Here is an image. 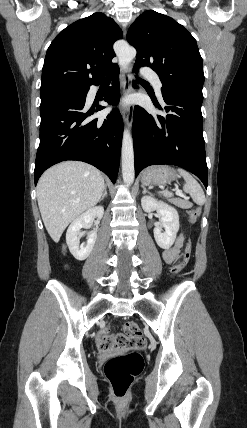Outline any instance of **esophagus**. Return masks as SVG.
I'll use <instances>...</instances> for the list:
<instances>
[{"mask_svg": "<svg viewBox=\"0 0 247 428\" xmlns=\"http://www.w3.org/2000/svg\"><path fill=\"white\" fill-rule=\"evenodd\" d=\"M127 30L126 28L123 29V34L126 36ZM121 86H122V93L123 95H126L130 92L131 89V67L124 70L121 74ZM122 117L124 120L125 125L130 129L132 127V111L130 107H127L122 112Z\"/></svg>", "mask_w": 247, "mask_h": 428, "instance_id": "obj_1", "label": "esophagus"}]
</instances>
